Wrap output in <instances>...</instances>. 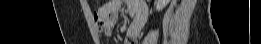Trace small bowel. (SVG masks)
I'll return each instance as SVG.
<instances>
[{"label":"small bowel","instance_id":"1","mask_svg":"<svg viewBox=\"0 0 261 44\" xmlns=\"http://www.w3.org/2000/svg\"><path fill=\"white\" fill-rule=\"evenodd\" d=\"M126 4L130 15L132 16V23L126 31L124 38L125 44H134L139 37L142 26L147 17V8L141 1L112 0L99 8L97 14H94V21L99 34L104 32L106 35L111 34L112 24L116 23L119 18V13Z\"/></svg>","mask_w":261,"mask_h":44}]
</instances>
